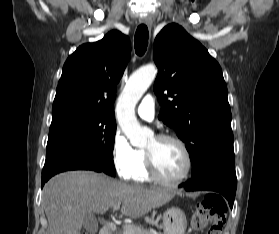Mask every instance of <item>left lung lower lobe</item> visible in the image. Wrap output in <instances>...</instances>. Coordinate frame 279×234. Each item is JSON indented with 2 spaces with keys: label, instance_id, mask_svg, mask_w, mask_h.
Masks as SVG:
<instances>
[{
  "label": "left lung lower lobe",
  "instance_id": "1",
  "mask_svg": "<svg viewBox=\"0 0 279 234\" xmlns=\"http://www.w3.org/2000/svg\"><path fill=\"white\" fill-rule=\"evenodd\" d=\"M180 186H184L187 191L212 190L219 192L228 200L232 208L237 188L235 163L217 164Z\"/></svg>",
  "mask_w": 279,
  "mask_h": 234
}]
</instances>
